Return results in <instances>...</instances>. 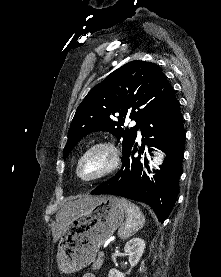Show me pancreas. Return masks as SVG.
Wrapping results in <instances>:
<instances>
[{"mask_svg":"<svg viewBox=\"0 0 221 277\" xmlns=\"http://www.w3.org/2000/svg\"><path fill=\"white\" fill-rule=\"evenodd\" d=\"M102 264H103V256L99 254L98 258L92 264V269L98 270L101 268Z\"/></svg>","mask_w":221,"mask_h":277,"instance_id":"pancreas-1","label":"pancreas"}]
</instances>
